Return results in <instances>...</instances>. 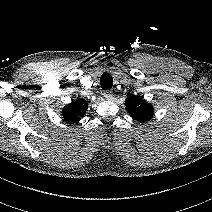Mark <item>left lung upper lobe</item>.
Wrapping results in <instances>:
<instances>
[{"label":"left lung upper lobe","instance_id":"obj_1","mask_svg":"<svg viewBox=\"0 0 212 212\" xmlns=\"http://www.w3.org/2000/svg\"><path fill=\"white\" fill-rule=\"evenodd\" d=\"M130 116L139 122L149 121L153 117V106L137 96H129L125 101Z\"/></svg>","mask_w":212,"mask_h":212}]
</instances>
